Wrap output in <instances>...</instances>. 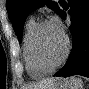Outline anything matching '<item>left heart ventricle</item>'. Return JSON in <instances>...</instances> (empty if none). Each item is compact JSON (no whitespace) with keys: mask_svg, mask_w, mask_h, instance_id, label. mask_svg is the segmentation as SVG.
I'll list each match as a JSON object with an SVG mask.
<instances>
[{"mask_svg":"<svg viewBox=\"0 0 89 89\" xmlns=\"http://www.w3.org/2000/svg\"><path fill=\"white\" fill-rule=\"evenodd\" d=\"M64 37L51 23L42 28L38 39L39 55L46 65H52L59 60L64 51Z\"/></svg>","mask_w":89,"mask_h":89,"instance_id":"left-heart-ventricle-1","label":"left heart ventricle"}]
</instances>
